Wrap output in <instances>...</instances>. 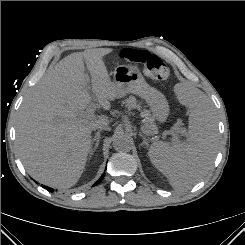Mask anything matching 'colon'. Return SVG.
I'll return each mask as SVG.
<instances>
[{
	"instance_id": "5ec220e1",
	"label": "colon",
	"mask_w": 245,
	"mask_h": 245,
	"mask_svg": "<svg viewBox=\"0 0 245 245\" xmlns=\"http://www.w3.org/2000/svg\"><path fill=\"white\" fill-rule=\"evenodd\" d=\"M121 58L134 65H142L145 74L155 80L164 81L170 76L167 64L157 55L136 49H124Z\"/></svg>"
}]
</instances>
